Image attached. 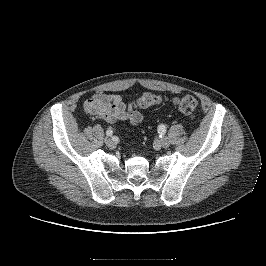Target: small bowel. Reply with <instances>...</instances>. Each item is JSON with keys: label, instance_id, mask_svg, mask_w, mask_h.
I'll return each instance as SVG.
<instances>
[{"label": "small bowel", "instance_id": "small-bowel-1", "mask_svg": "<svg viewBox=\"0 0 266 266\" xmlns=\"http://www.w3.org/2000/svg\"><path fill=\"white\" fill-rule=\"evenodd\" d=\"M84 110L91 116H96L108 123L128 121L135 126L144 120L133 101L115 93H96L84 104Z\"/></svg>", "mask_w": 266, "mask_h": 266}]
</instances>
